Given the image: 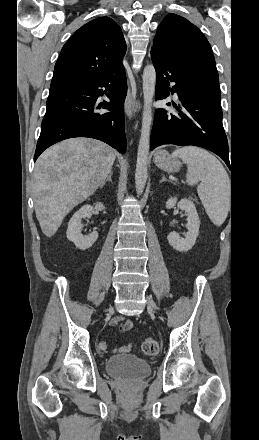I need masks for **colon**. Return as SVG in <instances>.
<instances>
[{"mask_svg":"<svg viewBox=\"0 0 259 440\" xmlns=\"http://www.w3.org/2000/svg\"><path fill=\"white\" fill-rule=\"evenodd\" d=\"M141 351L146 355H155L159 351V343L153 338L145 339L141 344Z\"/></svg>","mask_w":259,"mask_h":440,"instance_id":"5ec220e1","label":"colon"}]
</instances>
